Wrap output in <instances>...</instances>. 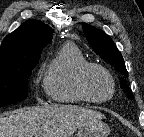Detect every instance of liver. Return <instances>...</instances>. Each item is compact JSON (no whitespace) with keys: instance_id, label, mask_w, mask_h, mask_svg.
<instances>
[{"instance_id":"6515ba94","label":"liver","mask_w":144,"mask_h":137,"mask_svg":"<svg viewBox=\"0 0 144 137\" xmlns=\"http://www.w3.org/2000/svg\"><path fill=\"white\" fill-rule=\"evenodd\" d=\"M104 118L100 112L72 105L26 107L0 117V137H70Z\"/></svg>"}]
</instances>
